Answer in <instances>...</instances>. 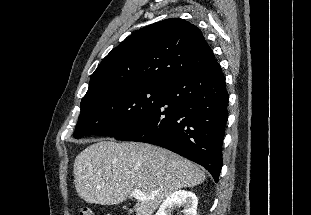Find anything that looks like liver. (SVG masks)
Returning a JSON list of instances; mask_svg holds the SVG:
<instances>
[{
  "mask_svg": "<svg viewBox=\"0 0 311 215\" xmlns=\"http://www.w3.org/2000/svg\"><path fill=\"white\" fill-rule=\"evenodd\" d=\"M74 183L85 202L117 205L133 190L147 200L136 202V215H151L173 192L201 184L204 172L194 163L168 150L137 142L98 140L74 161Z\"/></svg>",
  "mask_w": 311,
  "mask_h": 215,
  "instance_id": "6515ba94",
  "label": "liver"
}]
</instances>
